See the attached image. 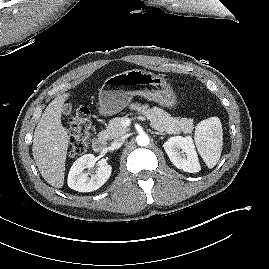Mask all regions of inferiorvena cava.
Segmentation results:
<instances>
[{"instance_id": "inferior-vena-cava-1", "label": "inferior vena cava", "mask_w": 269, "mask_h": 269, "mask_svg": "<svg viewBox=\"0 0 269 269\" xmlns=\"http://www.w3.org/2000/svg\"><path fill=\"white\" fill-rule=\"evenodd\" d=\"M124 140L122 138H119L115 141L112 142L111 144V148L112 149H118L119 147H121V145L123 144Z\"/></svg>"}]
</instances>
